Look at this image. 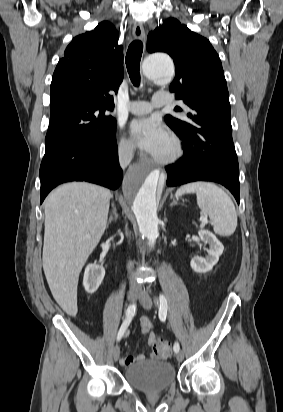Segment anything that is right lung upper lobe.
<instances>
[{
  "label": "right lung upper lobe",
  "mask_w": 283,
  "mask_h": 412,
  "mask_svg": "<svg viewBox=\"0 0 283 412\" xmlns=\"http://www.w3.org/2000/svg\"><path fill=\"white\" fill-rule=\"evenodd\" d=\"M117 43L116 29L107 21L72 40L53 74L50 115L74 104L113 109L109 92H117L123 80V48Z\"/></svg>",
  "instance_id": "right-lung-upper-lobe-1"
}]
</instances>
